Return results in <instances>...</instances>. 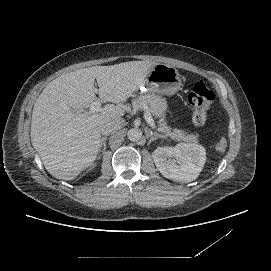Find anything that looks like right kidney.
Instances as JSON below:
<instances>
[{"mask_svg":"<svg viewBox=\"0 0 271 271\" xmlns=\"http://www.w3.org/2000/svg\"><path fill=\"white\" fill-rule=\"evenodd\" d=\"M87 167V166H86ZM86 167H83V168H79L78 172H82L84 170V168Z\"/></svg>","mask_w":271,"mask_h":271,"instance_id":"right-kidney-1","label":"right kidney"}]
</instances>
